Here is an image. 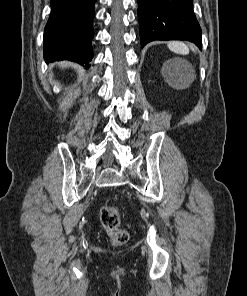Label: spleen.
<instances>
[{
    "mask_svg": "<svg viewBox=\"0 0 247 296\" xmlns=\"http://www.w3.org/2000/svg\"><path fill=\"white\" fill-rule=\"evenodd\" d=\"M168 48L173 51L174 53L186 55L189 53V46L186 45L183 42L179 41H171L168 43ZM191 49L194 51V48L191 47Z\"/></svg>",
    "mask_w": 247,
    "mask_h": 296,
    "instance_id": "3e777b00",
    "label": "spleen"
}]
</instances>
